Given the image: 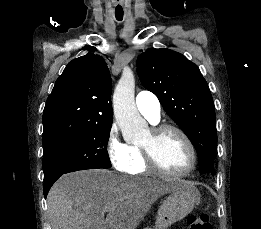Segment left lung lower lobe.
Listing matches in <instances>:
<instances>
[{
	"label": "left lung lower lobe",
	"mask_w": 261,
	"mask_h": 229,
	"mask_svg": "<svg viewBox=\"0 0 261 229\" xmlns=\"http://www.w3.org/2000/svg\"><path fill=\"white\" fill-rule=\"evenodd\" d=\"M206 174L214 175V174H215V171H214V169H212L211 171L207 172Z\"/></svg>",
	"instance_id": "obj_1"
}]
</instances>
